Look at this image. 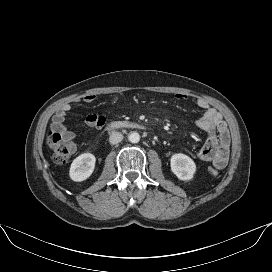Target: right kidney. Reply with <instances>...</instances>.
I'll return each mask as SVG.
<instances>
[{
	"label": "right kidney",
	"mask_w": 272,
	"mask_h": 272,
	"mask_svg": "<svg viewBox=\"0 0 272 272\" xmlns=\"http://www.w3.org/2000/svg\"><path fill=\"white\" fill-rule=\"evenodd\" d=\"M96 158L91 153H83L71 164L69 176L75 182L88 179L94 171Z\"/></svg>",
	"instance_id": "obj_1"
}]
</instances>
